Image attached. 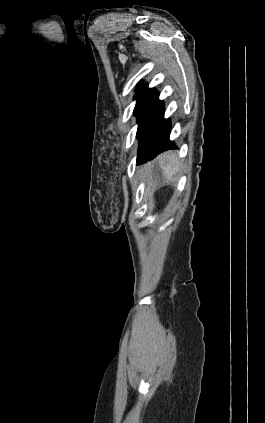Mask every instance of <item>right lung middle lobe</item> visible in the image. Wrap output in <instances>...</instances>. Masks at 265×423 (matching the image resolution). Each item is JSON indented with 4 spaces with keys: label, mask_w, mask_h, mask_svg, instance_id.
<instances>
[{
    "label": "right lung middle lobe",
    "mask_w": 265,
    "mask_h": 423,
    "mask_svg": "<svg viewBox=\"0 0 265 423\" xmlns=\"http://www.w3.org/2000/svg\"><path fill=\"white\" fill-rule=\"evenodd\" d=\"M136 99H137V102H136V106L134 110L135 114H137L139 110L142 108V106L147 100V97H136Z\"/></svg>",
    "instance_id": "dd1d6c3e"
}]
</instances>
